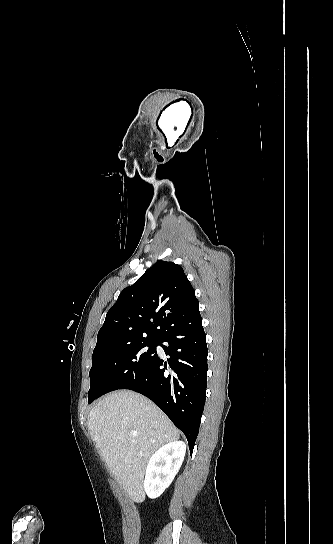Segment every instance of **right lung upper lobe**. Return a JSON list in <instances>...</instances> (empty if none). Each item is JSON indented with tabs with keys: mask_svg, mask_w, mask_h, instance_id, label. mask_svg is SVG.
I'll list each match as a JSON object with an SVG mask.
<instances>
[{
	"mask_svg": "<svg viewBox=\"0 0 333 544\" xmlns=\"http://www.w3.org/2000/svg\"><path fill=\"white\" fill-rule=\"evenodd\" d=\"M199 314L195 290L183 268L160 260L120 293L98 332L93 354L137 339L159 340Z\"/></svg>",
	"mask_w": 333,
	"mask_h": 544,
	"instance_id": "right-lung-upper-lobe-1",
	"label": "right lung upper lobe"
}]
</instances>
